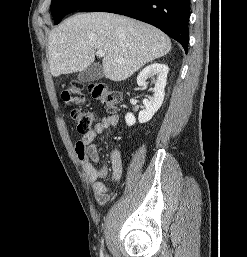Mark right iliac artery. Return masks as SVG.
<instances>
[{"instance_id": "82829eb1", "label": "right iliac artery", "mask_w": 247, "mask_h": 257, "mask_svg": "<svg viewBox=\"0 0 247 257\" xmlns=\"http://www.w3.org/2000/svg\"><path fill=\"white\" fill-rule=\"evenodd\" d=\"M101 257H103V253H102V250H101Z\"/></svg>"}]
</instances>
